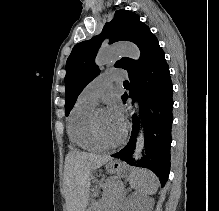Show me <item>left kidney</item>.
Segmentation results:
<instances>
[{"label":"left kidney","instance_id":"1","mask_svg":"<svg viewBox=\"0 0 219 211\" xmlns=\"http://www.w3.org/2000/svg\"><path fill=\"white\" fill-rule=\"evenodd\" d=\"M140 211H143V209H140ZM148 211H150V207H149Z\"/></svg>","mask_w":219,"mask_h":211}]
</instances>
